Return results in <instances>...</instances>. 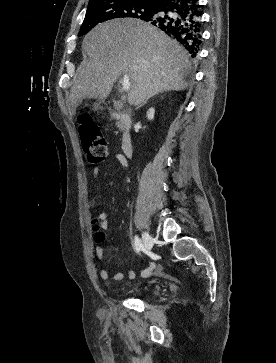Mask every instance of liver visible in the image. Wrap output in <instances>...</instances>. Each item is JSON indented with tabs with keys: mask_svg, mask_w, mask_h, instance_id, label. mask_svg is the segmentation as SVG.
<instances>
[{
	"mask_svg": "<svg viewBox=\"0 0 276 363\" xmlns=\"http://www.w3.org/2000/svg\"><path fill=\"white\" fill-rule=\"evenodd\" d=\"M89 61L80 68L71 88L70 105L83 99L103 100L113 84L127 75L128 103L144 104L166 91L188 87L192 72L188 53L165 33L133 18L114 19L91 30L82 43Z\"/></svg>",
	"mask_w": 276,
	"mask_h": 363,
	"instance_id": "6515ba94",
	"label": "liver"
}]
</instances>
